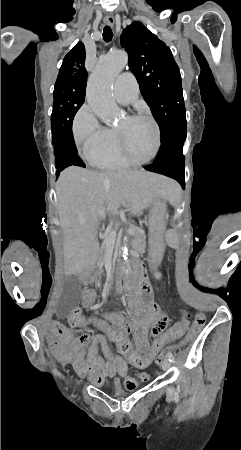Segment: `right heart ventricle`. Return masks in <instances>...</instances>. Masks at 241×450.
<instances>
[{
    "label": "right heart ventricle",
    "mask_w": 241,
    "mask_h": 450,
    "mask_svg": "<svg viewBox=\"0 0 241 450\" xmlns=\"http://www.w3.org/2000/svg\"><path fill=\"white\" fill-rule=\"evenodd\" d=\"M100 126V125H98ZM101 127V126H100ZM102 128V132L107 131L111 133L110 129ZM103 137L102 150L97 153V155H86L85 160L94 167L97 168H113V167H125L129 165L126 162V158L122 156V149H119V144L116 142L117 136H112L109 138ZM129 152V149H127Z\"/></svg>",
    "instance_id": "right-heart-ventricle-1"
}]
</instances>
